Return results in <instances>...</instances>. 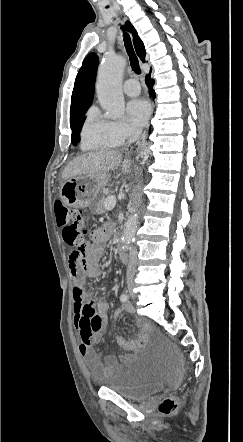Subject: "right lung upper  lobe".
Segmentation results:
<instances>
[{"instance_id":"right-lung-upper-lobe-1","label":"right lung upper lobe","mask_w":243,"mask_h":442,"mask_svg":"<svg viewBox=\"0 0 243 442\" xmlns=\"http://www.w3.org/2000/svg\"><path fill=\"white\" fill-rule=\"evenodd\" d=\"M128 31L131 33L136 52L140 59L145 61L144 44L130 22H126ZM98 66V57L95 53L89 54L83 61L74 83L71 97L70 123L78 120L86 113L92 103L94 95V82Z\"/></svg>"}]
</instances>
